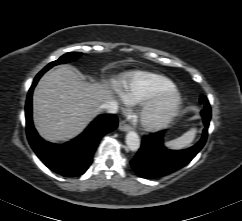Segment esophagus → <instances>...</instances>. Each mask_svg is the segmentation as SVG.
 <instances>
[{
    "mask_svg": "<svg viewBox=\"0 0 242 221\" xmlns=\"http://www.w3.org/2000/svg\"><path fill=\"white\" fill-rule=\"evenodd\" d=\"M119 129L121 131H129L131 129V126L129 124H127L125 121H120L119 122Z\"/></svg>",
    "mask_w": 242,
    "mask_h": 221,
    "instance_id": "obj_1",
    "label": "esophagus"
}]
</instances>
